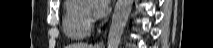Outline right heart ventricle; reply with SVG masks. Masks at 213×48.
<instances>
[{
  "instance_id": "right-heart-ventricle-1",
  "label": "right heart ventricle",
  "mask_w": 213,
  "mask_h": 48,
  "mask_svg": "<svg viewBox=\"0 0 213 48\" xmlns=\"http://www.w3.org/2000/svg\"><path fill=\"white\" fill-rule=\"evenodd\" d=\"M64 34L72 40H81L90 34V24L75 0H68L64 6L62 17Z\"/></svg>"
}]
</instances>
